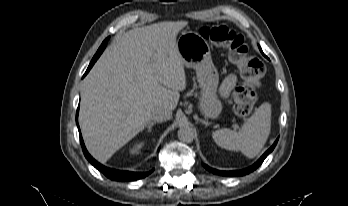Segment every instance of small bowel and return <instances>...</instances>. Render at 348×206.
<instances>
[{
  "instance_id": "c3829d8e",
  "label": "small bowel",
  "mask_w": 348,
  "mask_h": 206,
  "mask_svg": "<svg viewBox=\"0 0 348 206\" xmlns=\"http://www.w3.org/2000/svg\"><path fill=\"white\" fill-rule=\"evenodd\" d=\"M237 77L235 75H229L220 87V93L223 97L229 96L233 87L236 85Z\"/></svg>"
}]
</instances>
